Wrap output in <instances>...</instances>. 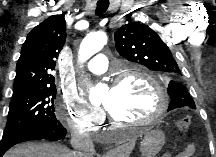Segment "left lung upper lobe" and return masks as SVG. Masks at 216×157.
I'll return each mask as SVG.
<instances>
[{
	"mask_svg": "<svg viewBox=\"0 0 216 157\" xmlns=\"http://www.w3.org/2000/svg\"><path fill=\"white\" fill-rule=\"evenodd\" d=\"M118 53L130 62L141 64L153 71L165 72L175 78L168 85L170 104L182 103L195 109V103L184 85L176 78L181 75L180 64L173 58V49H169L158 34L148 25L139 22L127 23L114 33Z\"/></svg>",
	"mask_w": 216,
	"mask_h": 157,
	"instance_id": "left-lung-upper-lobe-1",
	"label": "left lung upper lobe"
}]
</instances>
